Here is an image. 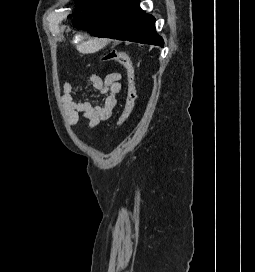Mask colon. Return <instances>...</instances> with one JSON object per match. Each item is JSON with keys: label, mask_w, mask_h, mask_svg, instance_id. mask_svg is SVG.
I'll return each mask as SVG.
<instances>
[{"label": "colon", "mask_w": 255, "mask_h": 272, "mask_svg": "<svg viewBox=\"0 0 255 272\" xmlns=\"http://www.w3.org/2000/svg\"><path fill=\"white\" fill-rule=\"evenodd\" d=\"M103 59L106 61H111V62H115L119 64L120 66L124 68L126 72L127 93H126L125 106L118 123V126L120 127L129 118L135 104V100H136L135 72H134L132 62L129 56L125 52L118 51V50H111L104 56Z\"/></svg>", "instance_id": "colon-1"}]
</instances>
